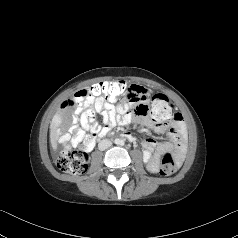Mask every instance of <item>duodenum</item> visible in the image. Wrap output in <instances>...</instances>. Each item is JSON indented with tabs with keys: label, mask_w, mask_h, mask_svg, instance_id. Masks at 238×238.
I'll list each match as a JSON object with an SVG mask.
<instances>
[{
	"label": "duodenum",
	"mask_w": 238,
	"mask_h": 238,
	"mask_svg": "<svg viewBox=\"0 0 238 238\" xmlns=\"http://www.w3.org/2000/svg\"><path fill=\"white\" fill-rule=\"evenodd\" d=\"M128 139H129L130 141H133V140H134V138H133V137H128Z\"/></svg>",
	"instance_id": "duodenum-1"
}]
</instances>
